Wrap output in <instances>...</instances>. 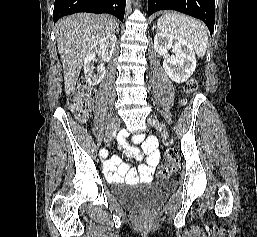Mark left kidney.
Listing matches in <instances>:
<instances>
[{
    "instance_id": "obj_1",
    "label": "left kidney",
    "mask_w": 257,
    "mask_h": 237,
    "mask_svg": "<svg viewBox=\"0 0 257 237\" xmlns=\"http://www.w3.org/2000/svg\"><path fill=\"white\" fill-rule=\"evenodd\" d=\"M154 48L159 55L163 56V69L172 81L183 83L195 71L194 50L184 39L160 32L155 35ZM171 48L173 55L168 53Z\"/></svg>"
}]
</instances>
